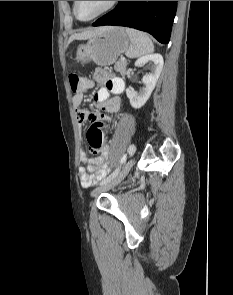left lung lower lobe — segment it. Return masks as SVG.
I'll list each match as a JSON object with an SVG mask.
<instances>
[{
    "label": "left lung lower lobe",
    "instance_id": "left-lung-lower-lobe-1",
    "mask_svg": "<svg viewBox=\"0 0 233 295\" xmlns=\"http://www.w3.org/2000/svg\"><path fill=\"white\" fill-rule=\"evenodd\" d=\"M177 1H119L109 13L93 26H127L150 33L160 43L170 40Z\"/></svg>",
    "mask_w": 233,
    "mask_h": 295
}]
</instances>
